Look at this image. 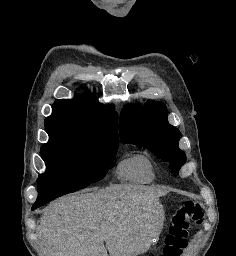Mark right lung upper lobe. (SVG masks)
<instances>
[{
  "label": "right lung upper lobe",
  "mask_w": 236,
  "mask_h": 256,
  "mask_svg": "<svg viewBox=\"0 0 236 256\" xmlns=\"http://www.w3.org/2000/svg\"><path fill=\"white\" fill-rule=\"evenodd\" d=\"M45 127L48 132L64 130L118 141L116 112L112 106L105 108L90 93L56 101L52 115L45 119Z\"/></svg>",
  "instance_id": "right-lung-upper-lobe-1"
}]
</instances>
